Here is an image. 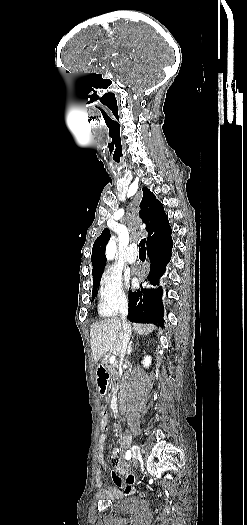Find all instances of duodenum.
Returning a JSON list of instances; mask_svg holds the SVG:
<instances>
[{
	"mask_svg": "<svg viewBox=\"0 0 247 525\" xmlns=\"http://www.w3.org/2000/svg\"><path fill=\"white\" fill-rule=\"evenodd\" d=\"M96 380L98 382L100 391L102 393L106 392L109 381V374L106 369V366L101 364L96 369ZM110 408L113 413L118 412V400L117 397H112L110 401Z\"/></svg>",
	"mask_w": 247,
	"mask_h": 525,
	"instance_id": "1",
	"label": "duodenum"
}]
</instances>
